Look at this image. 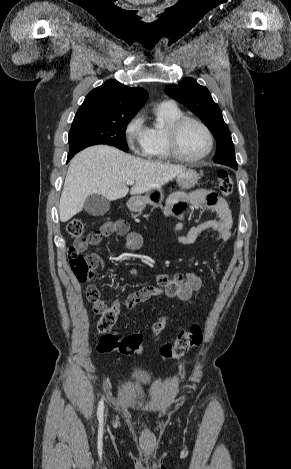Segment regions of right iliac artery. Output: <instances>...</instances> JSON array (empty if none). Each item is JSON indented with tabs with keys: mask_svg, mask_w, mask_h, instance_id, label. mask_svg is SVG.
Returning <instances> with one entry per match:
<instances>
[{
	"mask_svg": "<svg viewBox=\"0 0 291 469\" xmlns=\"http://www.w3.org/2000/svg\"><path fill=\"white\" fill-rule=\"evenodd\" d=\"M103 410H104V403H103V400H101L99 402L98 410H97V417L100 422L103 421Z\"/></svg>",
	"mask_w": 291,
	"mask_h": 469,
	"instance_id": "right-iliac-artery-1",
	"label": "right iliac artery"
}]
</instances>
